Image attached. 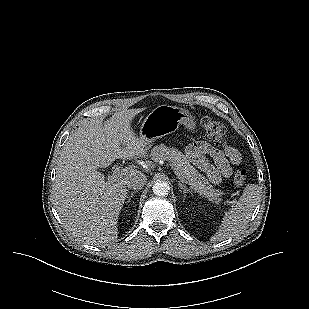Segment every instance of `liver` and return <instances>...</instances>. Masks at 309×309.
<instances>
[{
    "mask_svg": "<svg viewBox=\"0 0 309 309\" xmlns=\"http://www.w3.org/2000/svg\"><path fill=\"white\" fill-rule=\"evenodd\" d=\"M143 109L91 119L79 127L62 148L56 167L54 205L65 228L77 240L104 247L118 237V217L127 197L126 180L140 172L133 166L123 176H109L98 168L116 159L147 157V143L131 128Z\"/></svg>",
    "mask_w": 309,
    "mask_h": 309,
    "instance_id": "1",
    "label": "liver"
}]
</instances>
